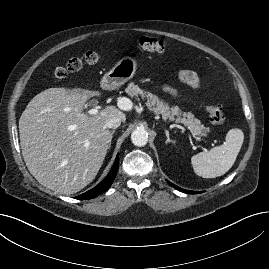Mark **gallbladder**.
<instances>
[{
	"mask_svg": "<svg viewBox=\"0 0 269 269\" xmlns=\"http://www.w3.org/2000/svg\"><path fill=\"white\" fill-rule=\"evenodd\" d=\"M94 102H95V101H94V100H92V101H90V104H94Z\"/></svg>",
	"mask_w": 269,
	"mask_h": 269,
	"instance_id": "bac80fb5",
	"label": "gallbladder"
}]
</instances>
